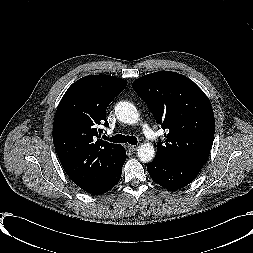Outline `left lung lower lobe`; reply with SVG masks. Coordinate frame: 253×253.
Instances as JSON below:
<instances>
[{
  "label": "left lung lower lobe",
  "mask_w": 253,
  "mask_h": 253,
  "mask_svg": "<svg viewBox=\"0 0 253 253\" xmlns=\"http://www.w3.org/2000/svg\"><path fill=\"white\" fill-rule=\"evenodd\" d=\"M203 165L191 162H173L158 158L147 165L151 178L169 190L182 188L192 182Z\"/></svg>",
  "instance_id": "0a47b994"
}]
</instances>
